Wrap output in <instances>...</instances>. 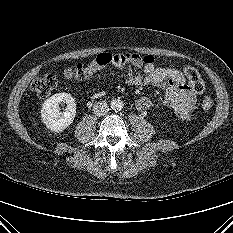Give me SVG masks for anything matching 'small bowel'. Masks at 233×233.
I'll use <instances>...</instances> for the list:
<instances>
[{"label": "small bowel", "instance_id": "obj_1", "mask_svg": "<svg viewBox=\"0 0 233 233\" xmlns=\"http://www.w3.org/2000/svg\"><path fill=\"white\" fill-rule=\"evenodd\" d=\"M111 65L125 71V82L130 86L154 85L165 90L164 103L183 120H188L196 102V92L187 83L185 69L157 67L144 64L136 53L124 52L116 55ZM150 100L140 96L135 101L139 110L150 107Z\"/></svg>", "mask_w": 233, "mask_h": 233}]
</instances>
